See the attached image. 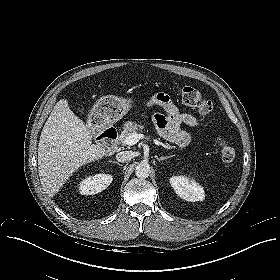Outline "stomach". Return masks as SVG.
Instances as JSON below:
<instances>
[{
    "label": "stomach",
    "instance_id": "1",
    "mask_svg": "<svg viewBox=\"0 0 280 280\" xmlns=\"http://www.w3.org/2000/svg\"><path fill=\"white\" fill-rule=\"evenodd\" d=\"M133 98H123L108 95L100 98L97 102L96 109L100 116L107 124L119 121L132 108Z\"/></svg>",
    "mask_w": 280,
    "mask_h": 280
}]
</instances>
